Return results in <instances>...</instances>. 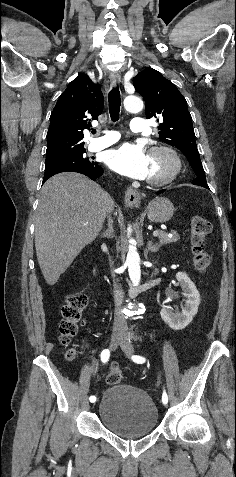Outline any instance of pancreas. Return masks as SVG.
<instances>
[{"label":"pancreas","instance_id":"cf45deb5","mask_svg":"<svg viewBox=\"0 0 236 477\" xmlns=\"http://www.w3.org/2000/svg\"><path fill=\"white\" fill-rule=\"evenodd\" d=\"M158 238L161 244H170L175 243L179 240L180 236L178 233L174 232L172 236H169L166 232L160 231Z\"/></svg>","mask_w":236,"mask_h":477}]
</instances>
